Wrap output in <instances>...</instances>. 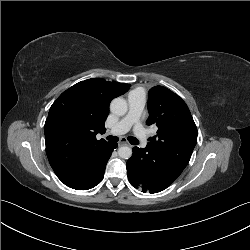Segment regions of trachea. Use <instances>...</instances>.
Here are the masks:
<instances>
[{
    "instance_id": "trachea-1",
    "label": "trachea",
    "mask_w": 250,
    "mask_h": 250,
    "mask_svg": "<svg viewBox=\"0 0 250 250\" xmlns=\"http://www.w3.org/2000/svg\"><path fill=\"white\" fill-rule=\"evenodd\" d=\"M107 140L111 141V142H117L119 140V138L117 136H108L106 138ZM128 141L132 144V145H137L139 143V141L137 140V138L135 137H128Z\"/></svg>"
}]
</instances>
